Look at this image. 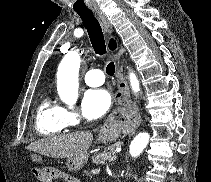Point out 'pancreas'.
I'll list each match as a JSON object with an SVG mask.
<instances>
[{
    "label": "pancreas",
    "mask_w": 211,
    "mask_h": 182,
    "mask_svg": "<svg viewBox=\"0 0 211 182\" xmlns=\"http://www.w3.org/2000/svg\"><path fill=\"white\" fill-rule=\"evenodd\" d=\"M116 148L117 145H112L104 151L94 154L92 157L93 164L99 165L105 163L106 161H115L117 158Z\"/></svg>",
    "instance_id": "cf45deb5"
}]
</instances>
